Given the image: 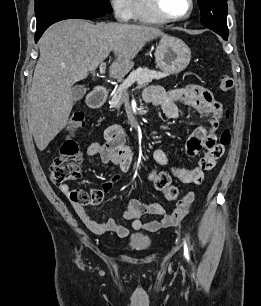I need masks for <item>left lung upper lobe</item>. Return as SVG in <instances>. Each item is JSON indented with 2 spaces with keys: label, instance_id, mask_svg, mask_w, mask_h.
Returning <instances> with one entry per match:
<instances>
[{
  "label": "left lung upper lobe",
  "instance_id": "left-lung-upper-lobe-1",
  "mask_svg": "<svg viewBox=\"0 0 261 306\" xmlns=\"http://www.w3.org/2000/svg\"><path fill=\"white\" fill-rule=\"evenodd\" d=\"M201 11V23L215 32L228 33L227 0H197Z\"/></svg>",
  "mask_w": 261,
  "mask_h": 306
}]
</instances>
